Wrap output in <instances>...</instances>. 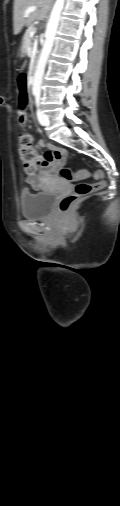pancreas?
Returning <instances> with one entry per match:
<instances>
[{"label": "pancreas", "mask_w": 120, "mask_h": 506, "mask_svg": "<svg viewBox=\"0 0 120 506\" xmlns=\"http://www.w3.org/2000/svg\"><path fill=\"white\" fill-rule=\"evenodd\" d=\"M32 30H33V26L29 27L24 35V38H23V49L24 50H26L30 45V41H31L30 32Z\"/></svg>", "instance_id": "1"}]
</instances>
